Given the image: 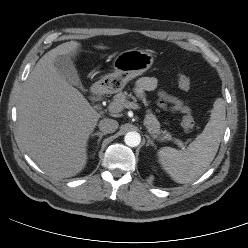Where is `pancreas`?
Returning a JSON list of instances; mask_svg holds the SVG:
<instances>
[{"instance_id": "cf45deb5", "label": "pancreas", "mask_w": 248, "mask_h": 248, "mask_svg": "<svg viewBox=\"0 0 248 248\" xmlns=\"http://www.w3.org/2000/svg\"><path fill=\"white\" fill-rule=\"evenodd\" d=\"M129 98L136 101V98L132 94H128L126 91L119 92L113 97L112 103H115L117 106L123 108L125 104L129 102L127 100ZM144 124L146 125L148 132L151 134L153 138H156L162 141L172 140V136L169 133H167L166 131H162L160 129V123L151 110H147V114L145 115V119H144ZM175 142L177 143V139H175Z\"/></svg>"}]
</instances>
